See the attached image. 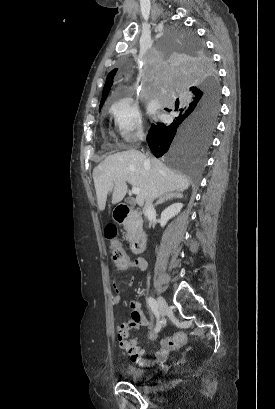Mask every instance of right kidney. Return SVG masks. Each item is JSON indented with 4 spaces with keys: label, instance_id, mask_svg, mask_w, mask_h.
<instances>
[{
    "label": "right kidney",
    "instance_id": "obj_1",
    "mask_svg": "<svg viewBox=\"0 0 275 409\" xmlns=\"http://www.w3.org/2000/svg\"><path fill=\"white\" fill-rule=\"evenodd\" d=\"M183 205L182 202H174V205H170V207H167L163 213H161V227H165L167 221L169 219H172V217H175V215H178L182 209Z\"/></svg>",
    "mask_w": 275,
    "mask_h": 409
}]
</instances>
